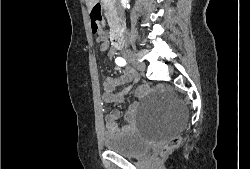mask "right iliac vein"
<instances>
[{
  "mask_svg": "<svg viewBox=\"0 0 250 169\" xmlns=\"http://www.w3.org/2000/svg\"><path fill=\"white\" fill-rule=\"evenodd\" d=\"M127 59L129 62H131L138 69L142 70L145 68V64L143 62L138 61L136 55L130 54Z\"/></svg>",
  "mask_w": 250,
  "mask_h": 169,
  "instance_id": "right-iliac-vein-1",
  "label": "right iliac vein"
}]
</instances>
